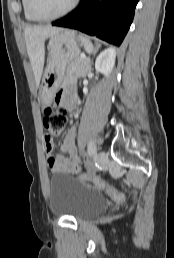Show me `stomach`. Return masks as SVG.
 Listing matches in <instances>:
<instances>
[{"mask_svg":"<svg viewBox=\"0 0 174 258\" xmlns=\"http://www.w3.org/2000/svg\"><path fill=\"white\" fill-rule=\"evenodd\" d=\"M48 59L40 87V101L49 106L64 79L66 66L79 56L80 41L75 32L62 30L49 39Z\"/></svg>","mask_w":174,"mask_h":258,"instance_id":"1","label":"stomach"}]
</instances>
